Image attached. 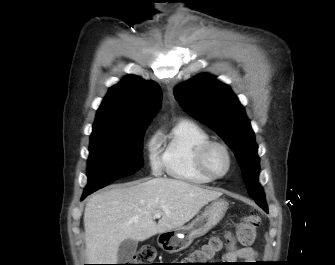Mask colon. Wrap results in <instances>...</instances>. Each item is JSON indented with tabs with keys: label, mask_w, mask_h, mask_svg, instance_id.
I'll return each mask as SVG.
<instances>
[{
	"label": "colon",
	"mask_w": 335,
	"mask_h": 265,
	"mask_svg": "<svg viewBox=\"0 0 335 265\" xmlns=\"http://www.w3.org/2000/svg\"><path fill=\"white\" fill-rule=\"evenodd\" d=\"M260 217L256 214L245 216L236 226L235 233H226L223 237H212L201 248L195 250L187 257L190 265H208L209 262L223 249L224 245L236 241L242 245L248 246L254 242L257 237ZM156 257V251L152 246H143L134 256L131 264L125 265H153Z\"/></svg>",
	"instance_id": "colon-1"
}]
</instances>
